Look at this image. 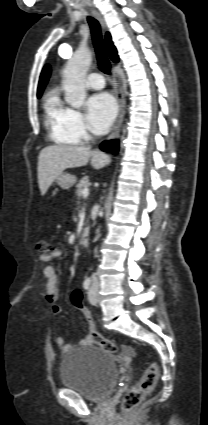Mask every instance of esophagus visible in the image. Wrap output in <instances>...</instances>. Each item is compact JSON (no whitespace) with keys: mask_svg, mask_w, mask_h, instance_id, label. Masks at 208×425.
Returning <instances> with one entry per match:
<instances>
[{"mask_svg":"<svg viewBox=\"0 0 208 425\" xmlns=\"http://www.w3.org/2000/svg\"><path fill=\"white\" fill-rule=\"evenodd\" d=\"M93 15L95 16V18L100 22L101 26L103 28H105V22L104 19L102 18V16L96 11V10H92ZM112 77H113V82H114V87L116 90V96H117V100H118V105H119V113H118V117L113 125L112 131L108 137L109 140L111 139H115L119 136L120 131H121V127H122V122L125 116V107H126V103H125V99L121 93L120 90V79L118 74L113 71L112 72Z\"/></svg>","mask_w":208,"mask_h":425,"instance_id":"1","label":"esophagus"}]
</instances>
